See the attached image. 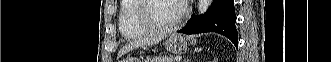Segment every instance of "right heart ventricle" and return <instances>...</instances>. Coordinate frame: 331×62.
Listing matches in <instances>:
<instances>
[{
  "instance_id": "right-heart-ventricle-1",
  "label": "right heart ventricle",
  "mask_w": 331,
  "mask_h": 62,
  "mask_svg": "<svg viewBox=\"0 0 331 62\" xmlns=\"http://www.w3.org/2000/svg\"><path fill=\"white\" fill-rule=\"evenodd\" d=\"M138 3L139 0L120 1L118 27L122 36L128 40L138 39L147 33L136 23Z\"/></svg>"
}]
</instances>
